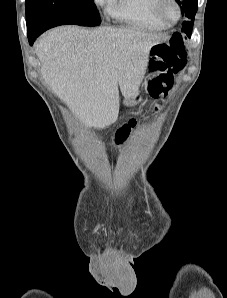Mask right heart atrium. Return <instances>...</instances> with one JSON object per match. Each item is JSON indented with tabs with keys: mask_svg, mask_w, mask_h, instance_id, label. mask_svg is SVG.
Here are the masks:
<instances>
[{
	"mask_svg": "<svg viewBox=\"0 0 227 298\" xmlns=\"http://www.w3.org/2000/svg\"><path fill=\"white\" fill-rule=\"evenodd\" d=\"M107 0H95V2L99 5L104 6Z\"/></svg>",
	"mask_w": 227,
	"mask_h": 298,
	"instance_id": "obj_1",
	"label": "right heart atrium"
}]
</instances>
